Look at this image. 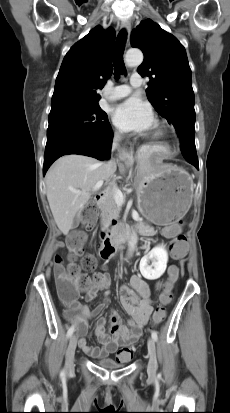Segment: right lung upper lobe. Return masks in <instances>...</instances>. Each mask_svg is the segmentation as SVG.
Returning <instances> with one entry per match:
<instances>
[{
	"mask_svg": "<svg viewBox=\"0 0 230 413\" xmlns=\"http://www.w3.org/2000/svg\"><path fill=\"white\" fill-rule=\"evenodd\" d=\"M115 32L96 26L65 55L56 78L51 110L67 106H96L112 74Z\"/></svg>",
	"mask_w": 230,
	"mask_h": 413,
	"instance_id": "obj_1",
	"label": "right lung upper lobe"
}]
</instances>
